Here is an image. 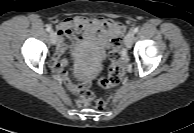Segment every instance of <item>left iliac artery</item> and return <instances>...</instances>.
Wrapping results in <instances>:
<instances>
[{
    "label": "left iliac artery",
    "instance_id": "left-iliac-artery-1",
    "mask_svg": "<svg viewBox=\"0 0 194 133\" xmlns=\"http://www.w3.org/2000/svg\"><path fill=\"white\" fill-rule=\"evenodd\" d=\"M138 27H135L134 29H133V33H137L138 32Z\"/></svg>",
    "mask_w": 194,
    "mask_h": 133
}]
</instances>
